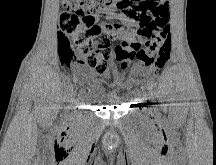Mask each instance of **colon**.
<instances>
[{
    "label": "colon",
    "mask_w": 216,
    "mask_h": 165,
    "mask_svg": "<svg viewBox=\"0 0 216 165\" xmlns=\"http://www.w3.org/2000/svg\"><path fill=\"white\" fill-rule=\"evenodd\" d=\"M137 1L63 0L65 11L58 28V55L61 61L89 68L100 77L108 74L112 55L123 64L137 61L154 71L162 68L172 50L168 9H158L156 18L148 17L146 25L138 31L137 40L124 42L113 50L109 37L97 22L100 12ZM128 14L136 19L147 17L144 13ZM140 41L145 42V47L141 46Z\"/></svg>",
    "instance_id": "colon-1"
}]
</instances>
